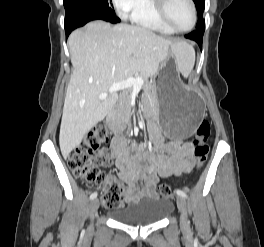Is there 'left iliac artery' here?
<instances>
[{"label": "left iliac artery", "mask_w": 264, "mask_h": 247, "mask_svg": "<svg viewBox=\"0 0 264 247\" xmlns=\"http://www.w3.org/2000/svg\"><path fill=\"white\" fill-rule=\"evenodd\" d=\"M176 193H177L179 196H182V197H184V198L187 197L186 193H185L184 191H182V190H176Z\"/></svg>", "instance_id": "44dca946"}]
</instances>
